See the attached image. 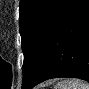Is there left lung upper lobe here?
<instances>
[{"label": "left lung upper lobe", "instance_id": "5c2ea615", "mask_svg": "<svg viewBox=\"0 0 89 89\" xmlns=\"http://www.w3.org/2000/svg\"><path fill=\"white\" fill-rule=\"evenodd\" d=\"M72 0H21L20 35L24 54L25 89L37 73L40 62L51 44L52 35Z\"/></svg>", "mask_w": 89, "mask_h": 89}]
</instances>
